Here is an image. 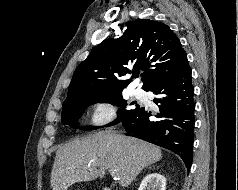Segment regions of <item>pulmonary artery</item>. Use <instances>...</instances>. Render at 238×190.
I'll list each match as a JSON object with an SVG mask.
<instances>
[{"instance_id":"1","label":"pulmonary artery","mask_w":238,"mask_h":190,"mask_svg":"<svg viewBox=\"0 0 238 190\" xmlns=\"http://www.w3.org/2000/svg\"><path fill=\"white\" fill-rule=\"evenodd\" d=\"M133 94L135 95V97L137 98H142L144 96V92L141 89H135L133 91Z\"/></svg>"}]
</instances>
